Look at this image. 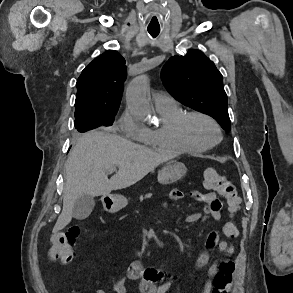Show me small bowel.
I'll use <instances>...</instances> for the list:
<instances>
[{
    "instance_id": "obj_1",
    "label": "small bowel",
    "mask_w": 293,
    "mask_h": 293,
    "mask_svg": "<svg viewBox=\"0 0 293 293\" xmlns=\"http://www.w3.org/2000/svg\"><path fill=\"white\" fill-rule=\"evenodd\" d=\"M190 196L204 203L203 212H195L188 214L185 221L195 224L206 219L217 221L221 218V202L214 191L202 193L194 190L190 192ZM184 198V192L180 189H174L170 193V199L179 201ZM161 207H167V203H163ZM206 250L198 257L196 265L202 268L208 265L210 260L209 250L218 248L226 254H233L234 245L222 240L217 231H211L206 239ZM217 272V265L212 264L208 268L209 279L205 282L201 293H212V278ZM166 273L163 270L146 267L140 261H133L124 273L117 274L112 282L111 288H100L95 293H131L132 291L124 284L125 279H129L137 283L136 292L138 293H169L170 284L165 282Z\"/></svg>"
}]
</instances>
